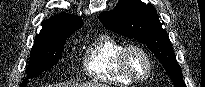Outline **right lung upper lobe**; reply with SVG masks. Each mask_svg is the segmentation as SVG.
Listing matches in <instances>:
<instances>
[{
	"label": "right lung upper lobe",
	"instance_id": "1",
	"mask_svg": "<svg viewBox=\"0 0 205 87\" xmlns=\"http://www.w3.org/2000/svg\"><path fill=\"white\" fill-rule=\"evenodd\" d=\"M82 20L79 16L61 13L55 15L43 22L42 29L36 35L34 42L57 40L60 38L69 37L73 32L82 26Z\"/></svg>",
	"mask_w": 205,
	"mask_h": 87
}]
</instances>
